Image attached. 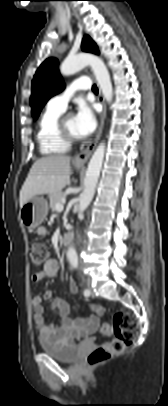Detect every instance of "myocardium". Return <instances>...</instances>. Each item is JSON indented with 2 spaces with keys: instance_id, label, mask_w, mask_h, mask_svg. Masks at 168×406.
<instances>
[{
  "instance_id": "f54148a6",
  "label": "myocardium",
  "mask_w": 168,
  "mask_h": 406,
  "mask_svg": "<svg viewBox=\"0 0 168 406\" xmlns=\"http://www.w3.org/2000/svg\"><path fill=\"white\" fill-rule=\"evenodd\" d=\"M71 115H72L71 113H64L59 117V119L57 121V130H58L60 137L69 144H72V143L78 141V139H79L78 136L71 134L66 128V125H65L66 119Z\"/></svg>"
}]
</instances>
